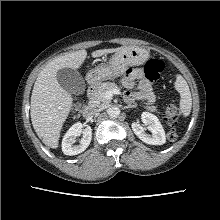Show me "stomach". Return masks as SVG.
Segmentation results:
<instances>
[{
	"label": "stomach",
	"instance_id": "0dacf381",
	"mask_svg": "<svg viewBox=\"0 0 220 220\" xmlns=\"http://www.w3.org/2000/svg\"><path fill=\"white\" fill-rule=\"evenodd\" d=\"M149 58V52L140 47L126 46L117 51L107 64L91 69L87 81L91 86H98L102 81L113 80L124 74L128 66H139Z\"/></svg>",
	"mask_w": 220,
	"mask_h": 220
}]
</instances>
